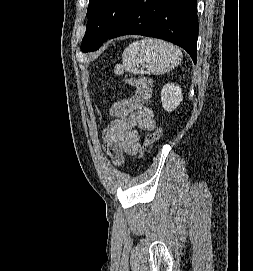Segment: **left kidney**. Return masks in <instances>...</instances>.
<instances>
[{"mask_svg":"<svg viewBox=\"0 0 253 271\" xmlns=\"http://www.w3.org/2000/svg\"><path fill=\"white\" fill-rule=\"evenodd\" d=\"M183 94L179 85L167 83L161 90V102L164 110L174 111L182 102Z\"/></svg>","mask_w":253,"mask_h":271,"instance_id":"obj_1","label":"left kidney"}]
</instances>
